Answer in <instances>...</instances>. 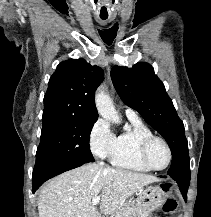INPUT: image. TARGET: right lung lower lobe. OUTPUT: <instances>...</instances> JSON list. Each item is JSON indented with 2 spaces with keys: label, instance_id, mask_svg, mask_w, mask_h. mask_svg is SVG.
<instances>
[{
  "label": "right lung lower lobe",
  "instance_id": "98d812e1",
  "mask_svg": "<svg viewBox=\"0 0 211 217\" xmlns=\"http://www.w3.org/2000/svg\"><path fill=\"white\" fill-rule=\"evenodd\" d=\"M81 165H83V163L65 161H49L35 165L32 175V192L35 193L48 179Z\"/></svg>",
  "mask_w": 211,
  "mask_h": 217
}]
</instances>
